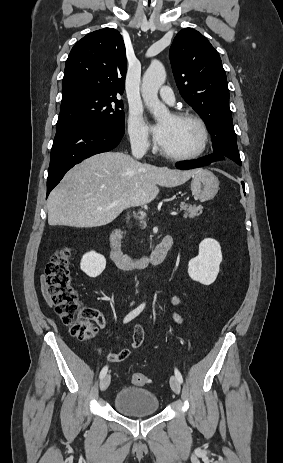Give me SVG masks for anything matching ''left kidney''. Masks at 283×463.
I'll use <instances>...</instances> for the list:
<instances>
[{
  "mask_svg": "<svg viewBox=\"0 0 283 463\" xmlns=\"http://www.w3.org/2000/svg\"><path fill=\"white\" fill-rule=\"evenodd\" d=\"M222 262L220 244L211 238H206L199 244V254L188 263L190 278L203 285H211L217 278Z\"/></svg>",
  "mask_w": 283,
  "mask_h": 463,
  "instance_id": "1",
  "label": "left kidney"
}]
</instances>
